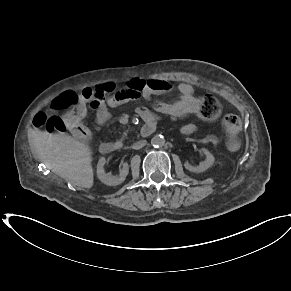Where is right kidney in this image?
Here are the masks:
<instances>
[{"mask_svg": "<svg viewBox=\"0 0 291 291\" xmlns=\"http://www.w3.org/2000/svg\"><path fill=\"white\" fill-rule=\"evenodd\" d=\"M106 163V159L101 157L97 164V177L99 180L108 186H116L124 182L126 176L129 173V165L128 163H124L122 169L120 170L119 176H113L111 173H106L104 169V165Z\"/></svg>", "mask_w": 291, "mask_h": 291, "instance_id": "ca27d5eb", "label": "right kidney"}]
</instances>
